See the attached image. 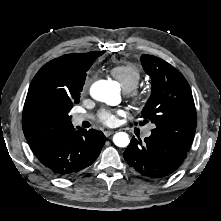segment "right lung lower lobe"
I'll list each match as a JSON object with an SVG mask.
<instances>
[{
	"instance_id": "obj_1",
	"label": "right lung lower lobe",
	"mask_w": 221,
	"mask_h": 221,
	"mask_svg": "<svg viewBox=\"0 0 221 221\" xmlns=\"http://www.w3.org/2000/svg\"><path fill=\"white\" fill-rule=\"evenodd\" d=\"M105 142L101 131L71 127L35 155L50 173L72 177L97 159Z\"/></svg>"
}]
</instances>
